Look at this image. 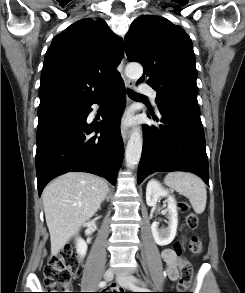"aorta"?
I'll return each mask as SVG.
<instances>
[{
    "label": "aorta",
    "instance_id": "1",
    "mask_svg": "<svg viewBox=\"0 0 245 293\" xmlns=\"http://www.w3.org/2000/svg\"><path fill=\"white\" fill-rule=\"evenodd\" d=\"M128 78L138 79L143 74V67L139 63H129L125 68ZM143 139L139 128H134L125 151V160L129 168L135 167L141 158Z\"/></svg>",
    "mask_w": 245,
    "mask_h": 293
}]
</instances>
